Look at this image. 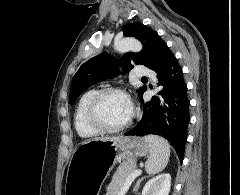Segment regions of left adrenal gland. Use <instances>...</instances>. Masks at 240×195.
Returning a JSON list of instances; mask_svg holds the SVG:
<instances>
[{
	"mask_svg": "<svg viewBox=\"0 0 240 195\" xmlns=\"http://www.w3.org/2000/svg\"><path fill=\"white\" fill-rule=\"evenodd\" d=\"M144 177H149V175H144ZM144 177H140V179H137L136 185L134 187V191H138L139 185H140L141 181H143Z\"/></svg>",
	"mask_w": 240,
	"mask_h": 195,
	"instance_id": "1",
	"label": "left adrenal gland"
}]
</instances>
